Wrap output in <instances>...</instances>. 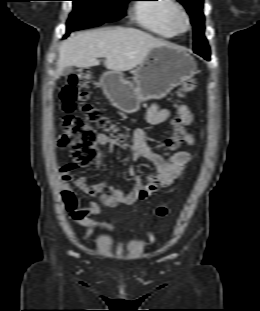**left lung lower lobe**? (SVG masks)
<instances>
[{
    "label": "left lung lower lobe",
    "instance_id": "obj_1",
    "mask_svg": "<svg viewBox=\"0 0 260 311\" xmlns=\"http://www.w3.org/2000/svg\"><path fill=\"white\" fill-rule=\"evenodd\" d=\"M195 53H197L200 56L204 57L205 59L209 60L210 53H203V52H195Z\"/></svg>",
    "mask_w": 260,
    "mask_h": 311
}]
</instances>
